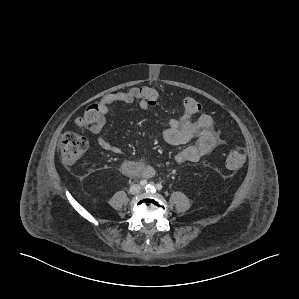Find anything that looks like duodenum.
Returning <instances> with one entry per match:
<instances>
[{
  "instance_id": "410a0bca",
  "label": "duodenum",
  "mask_w": 299,
  "mask_h": 299,
  "mask_svg": "<svg viewBox=\"0 0 299 299\" xmlns=\"http://www.w3.org/2000/svg\"><path fill=\"white\" fill-rule=\"evenodd\" d=\"M122 171L129 176L137 175L138 166L134 162H126L122 165Z\"/></svg>"
}]
</instances>
